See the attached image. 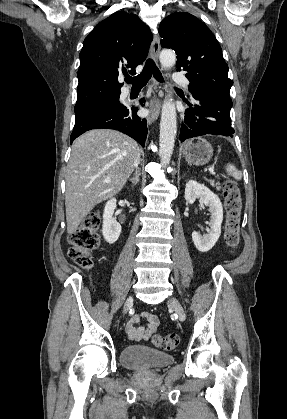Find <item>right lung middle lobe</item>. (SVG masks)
<instances>
[{"instance_id":"1","label":"right lung middle lobe","mask_w":287,"mask_h":419,"mask_svg":"<svg viewBox=\"0 0 287 419\" xmlns=\"http://www.w3.org/2000/svg\"><path fill=\"white\" fill-rule=\"evenodd\" d=\"M119 96H113V97H108L93 103H90L88 105H84V106H79V107H75L74 111L76 114V118L75 120H78L79 118L93 112L99 109H103V108H107V107H111V106H121L120 102H119Z\"/></svg>"}]
</instances>
